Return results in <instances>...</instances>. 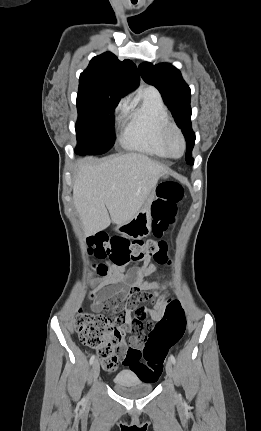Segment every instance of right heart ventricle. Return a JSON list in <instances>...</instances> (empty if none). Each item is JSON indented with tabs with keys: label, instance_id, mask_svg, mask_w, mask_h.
I'll use <instances>...</instances> for the list:
<instances>
[{
	"label": "right heart ventricle",
	"instance_id": "e07e8e85",
	"mask_svg": "<svg viewBox=\"0 0 261 431\" xmlns=\"http://www.w3.org/2000/svg\"><path fill=\"white\" fill-rule=\"evenodd\" d=\"M169 116L159 96L145 89L125 110L121 142L125 148L148 155L167 158L162 144V131Z\"/></svg>",
	"mask_w": 261,
	"mask_h": 431
}]
</instances>
